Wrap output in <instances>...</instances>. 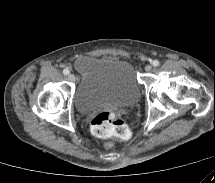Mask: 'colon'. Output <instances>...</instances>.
<instances>
[{
	"mask_svg": "<svg viewBox=\"0 0 215 183\" xmlns=\"http://www.w3.org/2000/svg\"><path fill=\"white\" fill-rule=\"evenodd\" d=\"M92 133L101 138L118 136L126 137L128 135V126L126 122L121 119L113 111H104L97 114L91 121Z\"/></svg>",
	"mask_w": 215,
	"mask_h": 183,
	"instance_id": "5ec220e1",
	"label": "colon"
}]
</instances>
